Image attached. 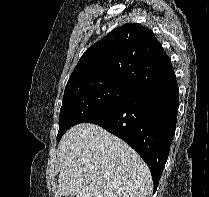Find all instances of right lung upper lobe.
<instances>
[{"mask_svg": "<svg viewBox=\"0 0 209 197\" xmlns=\"http://www.w3.org/2000/svg\"><path fill=\"white\" fill-rule=\"evenodd\" d=\"M173 70L153 32L140 24L128 23L84 52L67 85L110 79L139 88Z\"/></svg>", "mask_w": 209, "mask_h": 197, "instance_id": "1", "label": "right lung upper lobe"}]
</instances>
